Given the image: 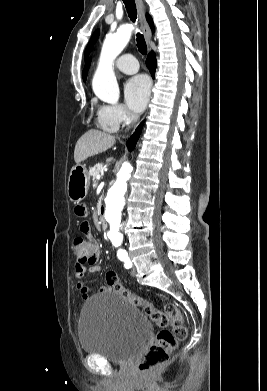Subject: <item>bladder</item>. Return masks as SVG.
<instances>
[{"label": "bladder", "instance_id": "obj_1", "mask_svg": "<svg viewBox=\"0 0 267 391\" xmlns=\"http://www.w3.org/2000/svg\"><path fill=\"white\" fill-rule=\"evenodd\" d=\"M150 334L145 315L116 292L94 296L81 309L78 337L87 354L126 363L141 352Z\"/></svg>", "mask_w": 267, "mask_h": 391}]
</instances>
